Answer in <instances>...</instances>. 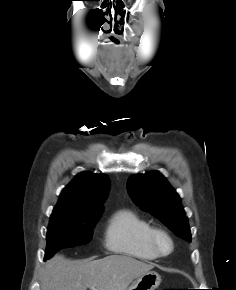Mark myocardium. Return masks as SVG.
Listing matches in <instances>:
<instances>
[{
	"label": "myocardium",
	"instance_id": "1",
	"mask_svg": "<svg viewBox=\"0 0 236 290\" xmlns=\"http://www.w3.org/2000/svg\"><path fill=\"white\" fill-rule=\"evenodd\" d=\"M150 244L158 256H168L174 249L171 235L163 229L153 228L150 233Z\"/></svg>",
	"mask_w": 236,
	"mask_h": 290
}]
</instances>
